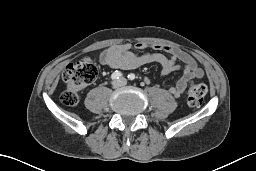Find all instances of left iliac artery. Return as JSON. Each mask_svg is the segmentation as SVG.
Wrapping results in <instances>:
<instances>
[{
    "mask_svg": "<svg viewBox=\"0 0 256 171\" xmlns=\"http://www.w3.org/2000/svg\"><path fill=\"white\" fill-rule=\"evenodd\" d=\"M128 79H129V80H134V79H135V74L130 73V74L128 75Z\"/></svg>",
    "mask_w": 256,
    "mask_h": 171,
    "instance_id": "44dca946",
    "label": "left iliac artery"
}]
</instances>
